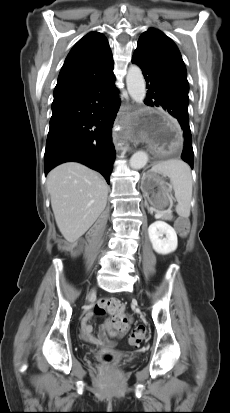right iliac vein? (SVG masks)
<instances>
[{
    "mask_svg": "<svg viewBox=\"0 0 230 413\" xmlns=\"http://www.w3.org/2000/svg\"><path fill=\"white\" fill-rule=\"evenodd\" d=\"M94 295H95V290L93 289V290L90 291V293L88 294L87 300H90Z\"/></svg>",
    "mask_w": 230,
    "mask_h": 413,
    "instance_id": "63e3f726",
    "label": "right iliac vein"
}]
</instances>
